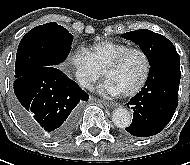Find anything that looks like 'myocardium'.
Returning <instances> with one entry per match:
<instances>
[{
  "instance_id": "obj_1",
  "label": "myocardium",
  "mask_w": 190,
  "mask_h": 165,
  "mask_svg": "<svg viewBox=\"0 0 190 165\" xmlns=\"http://www.w3.org/2000/svg\"><path fill=\"white\" fill-rule=\"evenodd\" d=\"M131 53H139L144 59L145 67H144L143 75L141 79L139 80V82L131 89L121 92V94L124 96L135 95L146 84L150 71H151V60L147 52L138 47H130L124 50L123 52H121L120 54H118L115 58H113L103 70L104 76L106 77L109 71L117 68L124 61V59Z\"/></svg>"
}]
</instances>
